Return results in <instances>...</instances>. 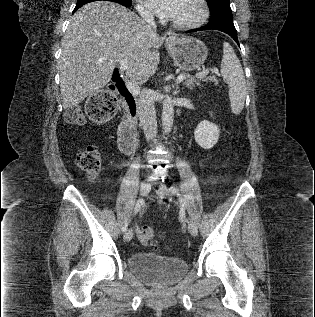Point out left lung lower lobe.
<instances>
[{"label":"left lung lower lobe","mask_w":315,"mask_h":317,"mask_svg":"<svg viewBox=\"0 0 315 317\" xmlns=\"http://www.w3.org/2000/svg\"><path fill=\"white\" fill-rule=\"evenodd\" d=\"M208 29L219 30V31H222V32L230 35L235 40V42L239 45L238 38H237V31L235 29L234 24L213 25V24L208 23V25H206L204 27L189 30L186 33L208 30Z\"/></svg>","instance_id":"obj_1"}]
</instances>
